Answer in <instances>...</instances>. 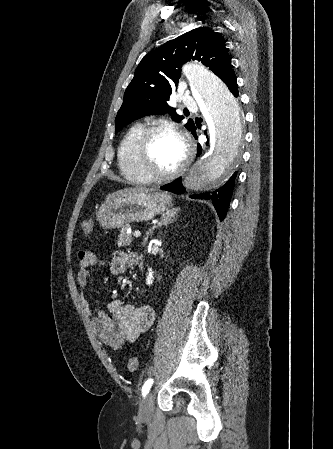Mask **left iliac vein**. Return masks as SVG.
I'll list each match as a JSON object with an SVG mask.
<instances>
[{"label": "left iliac vein", "mask_w": 333, "mask_h": 449, "mask_svg": "<svg viewBox=\"0 0 333 449\" xmlns=\"http://www.w3.org/2000/svg\"><path fill=\"white\" fill-rule=\"evenodd\" d=\"M154 413V396L149 393L142 401L139 409L140 420L147 422L150 421Z\"/></svg>", "instance_id": "left-iliac-vein-1"}]
</instances>
